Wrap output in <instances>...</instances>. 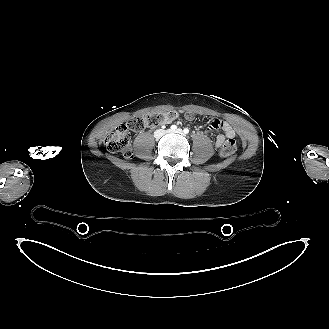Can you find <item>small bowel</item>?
<instances>
[{
	"label": "small bowel",
	"mask_w": 329,
	"mask_h": 329,
	"mask_svg": "<svg viewBox=\"0 0 329 329\" xmlns=\"http://www.w3.org/2000/svg\"><path fill=\"white\" fill-rule=\"evenodd\" d=\"M214 130H219L220 134L215 141L216 147L221 146L226 138L229 139L235 137L234 129L226 121L213 120L207 128V132L210 133Z\"/></svg>",
	"instance_id": "small-bowel-1"
}]
</instances>
